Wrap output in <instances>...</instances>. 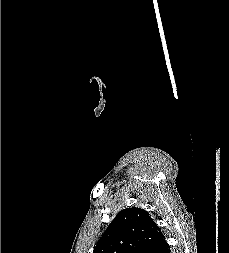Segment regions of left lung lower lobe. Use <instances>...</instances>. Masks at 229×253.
<instances>
[{
	"label": "left lung lower lobe",
	"instance_id": "1",
	"mask_svg": "<svg viewBox=\"0 0 229 253\" xmlns=\"http://www.w3.org/2000/svg\"><path fill=\"white\" fill-rule=\"evenodd\" d=\"M155 253H171L170 247L165 239L159 244Z\"/></svg>",
	"mask_w": 229,
	"mask_h": 253
}]
</instances>
